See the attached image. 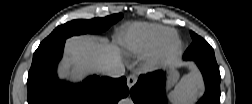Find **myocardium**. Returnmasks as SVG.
Here are the masks:
<instances>
[{
	"mask_svg": "<svg viewBox=\"0 0 252 104\" xmlns=\"http://www.w3.org/2000/svg\"><path fill=\"white\" fill-rule=\"evenodd\" d=\"M182 43L179 40L173 39L169 43L165 44L162 51L157 55L158 58H163L167 56L178 55L181 52ZM152 61H149L146 65V69H151Z\"/></svg>",
	"mask_w": 252,
	"mask_h": 104,
	"instance_id": "myocardium-1",
	"label": "myocardium"
}]
</instances>
